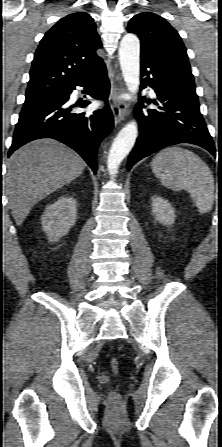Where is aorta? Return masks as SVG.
Listing matches in <instances>:
<instances>
[{"label": "aorta", "instance_id": "762f6f07", "mask_svg": "<svg viewBox=\"0 0 222 447\" xmlns=\"http://www.w3.org/2000/svg\"><path fill=\"white\" fill-rule=\"evenodd\" d=\"M119 61L122 75L128 90L135 94L140 85V41L134 34L124 35L119 47ZM138 135L135 120L127 123L118 133L109 151L107 168L115 175L123 159L133 148Z\"/></svg>", "mask_w": 222, "mask_h": 447}]
</instances>
